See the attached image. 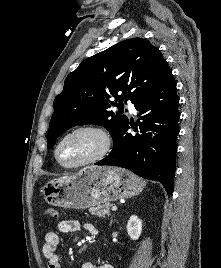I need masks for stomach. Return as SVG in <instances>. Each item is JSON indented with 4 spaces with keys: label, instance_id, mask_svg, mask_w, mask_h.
I'll list each match as a JSON object with an SVG mask.
<instances>
[{
    "label": "stomach",
    "instance_id": "0dacf381",
    "mask_svg": "<svg viewBox=\"0 0 221 268\" xmlns=\"http://www.w3.org/2000/svg\"><path fill=\"white\" fill-rule=\"evenodd\" d=\"M144 186L142 179L127 170L88 166L73 175L49 181L42 193L50 205L85 209L133 197L141 193Z\"/></svg>",
    "mask_w": 221,
    "mask_h": 268
}]
</instances>
